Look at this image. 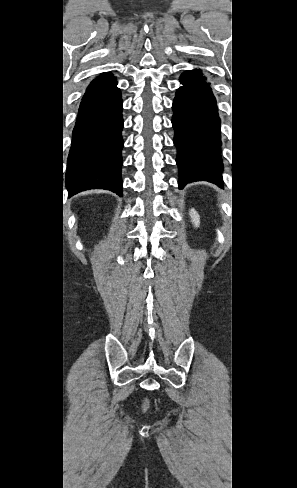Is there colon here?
Here are the masks:
<instances>
[{
    "label": "colon",
    "mask_w": 297,
    "mask_h": 488,
    "mask_svg": "<svg viewBox=\"0 0 297 488\" xmlns=\"http://www.w3.org/2000/svg\"><path fill=\"white\" fill-rule=\"evenodd\" d=\"M142 407H143V409H144V410H147V409H148V407H149V402H148V400H144V401H143Z\"/></svg>",
    "instance_id": "1"
}]
</instances>
